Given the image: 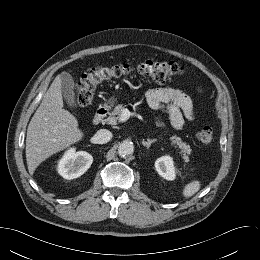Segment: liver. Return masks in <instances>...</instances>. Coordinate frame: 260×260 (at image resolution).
<instances>
[{"mask_svg": "<svg viewBox=\"0 0 260 260\" xmlns=\"http://www.w3.org/2000/svg\"><path fill=\"white\" fill-rule=\"evenodd\" d=\"M77 119L63 109L61 75L56 76L33 115L26 136L28 171L36 168L51 155L80 141L84 134Z\"/></svg>", "mask_w": 260, "mask_h": 260, "instance_id": "liver-1", "label": "liver"}]
</instances>
